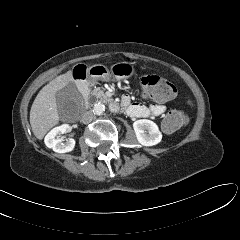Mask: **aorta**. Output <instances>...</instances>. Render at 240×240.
I'll list each match as a JSON object with an SVG mask.
<instances>
[{
	"instance_id": "aorta-1",
	"label": "aorta",
	"mask_w": 240,
	"mask_h": 240,
	"mask_svg": "<svg viewBox=\"0 0 240 240\" xmlns=\"http://www.w3.org/2000/svg\"><path fill=\"white\" fill-rule=\"evenodd\" d=\"M105 111V105L102 103H96L93 108V112L96 115H102Z\"/></svg>"
}]
</instances>
